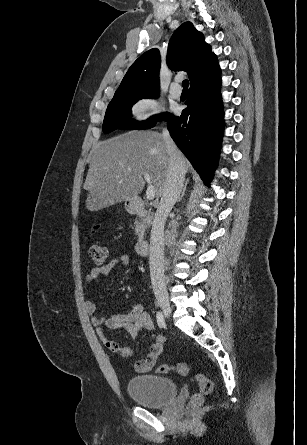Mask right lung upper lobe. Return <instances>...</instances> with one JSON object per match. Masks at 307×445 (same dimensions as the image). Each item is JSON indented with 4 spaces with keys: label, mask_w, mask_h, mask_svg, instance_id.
<instances>
[{
    "label": "right lung upper lobe",
    "mask_w": 307,
    "mask_h": 445,
    "mask_svg": "<svg viewBox=\"0 0 307 445\" xmlns=\"http://www.w3.org/2000/svg\"><path fill=\"white\" fill-rule=\"evenodd\" d=\"M167 63L172 70L187 71L190 84L218 65L203 34L190 22L182 24L171 37ZM159 70V50L150 49L131 65L112 100L159 93Z\"/></svg>",
    "instance_id": "right-lung-upper-lobe-1"
}]
</instances>
